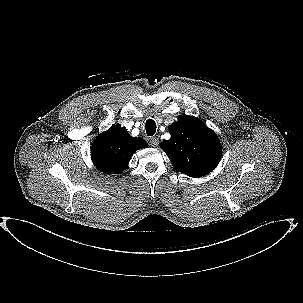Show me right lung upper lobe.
<instances>
[{"label":"right lung upper lobe","instance_id":"1","mask_svg":"<svg viewBox=\"0 0 303 303\" xmlns=\"http://www.w3.org/2000/svg\"><path fill=\"white\" fill-rule=\"evenodd\" d=\"M147 146L144 139L131 137L124 128L114 125L96 137L92 144L91 157L93 164L101 172L120 174L128 168L134 152Z\"/></svg>","mask_w":303,"mask_h":303}]
</instances>
